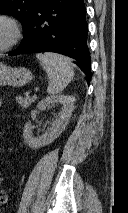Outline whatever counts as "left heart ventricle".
<instances>
[{"mask_svg":"<svg viewBox=\"0 0 128 213\" xmlns=\"http://www.w3.org/2000/svg\"><path fill=\"white\" fill-rule=\"evenodd\" d=\"M11 37V29L7 23L0 21V47L5 45Z\"/></svg>","mask_w":128,"mask_h":213,"instance_id":"1","label":"left heart ventricle"}]
</instances>
